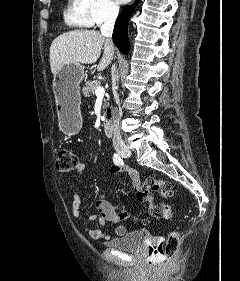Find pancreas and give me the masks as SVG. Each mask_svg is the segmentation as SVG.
Listing matches in <instances>:
<instances>
[{"label":"pancreas","instance_id":"cf45deb5","mask_svg":"<svg viewBox=\"0 0 240 281\" xmlns=\"http://www.w3.org/2000/svg\"><path fill=\"white\" fill-rule=\"evenodd\" d=\"M99 86V81H88L85 83V86L82 88V94L84 97H90L91 94H94L95 89ZM109 103L107 100H104V108L108 107Z\"/></svg>","mask_w":240,"mask_h":281}]
</instances>
